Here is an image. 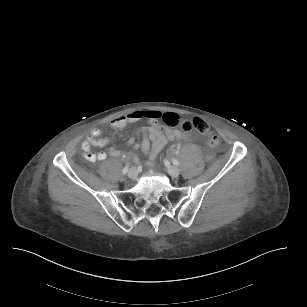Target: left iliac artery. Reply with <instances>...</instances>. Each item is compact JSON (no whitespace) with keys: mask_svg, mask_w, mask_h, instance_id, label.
Segmentation results:
<instances>
[{"mask_svg":"<svg viewBox=\"0 0 307 307\" xmlns=\"http://www.w3.org/2000/svg\"><path fill=\"white\" fill-rule=\"evenodd\" d=\"M172 163L176 166H178L180 164V162L176 159H172Z\"/></svg>","mask_w":307,"mask_h":307,"instance_id":"left-iliac-artery-1","label":"left iliac artery"}]
</instances>
